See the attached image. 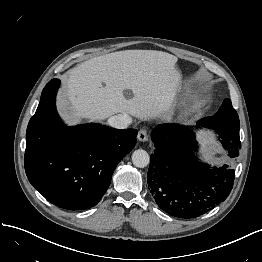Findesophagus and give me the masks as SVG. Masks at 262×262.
<instances>
[{
  "instance_id": "34e87169",
  "label": "esophagus",
  "mask_w": 262,
  "mask_h": 262,
  "mask_svg": "<svg viewBox=\"0 0 262 262\" xmlns=\"http://www.w3.org/2000/svg\"><path fill=\"white\" fill-rule=\"evenodd\" d=\"M137 139L140 142H146L148 140V132L145 128H142L139 130L138 135H137Z\"/></svg>"
}]
</instances>
